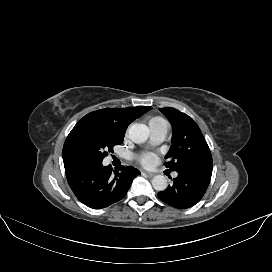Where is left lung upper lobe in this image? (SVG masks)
I'll list each match as a JSON object with an SVG mask.
<instances>
[{"mask_svg": "<svg viewBox=\"0 0 272 272\" xmlns=\"http://www.w3.org/2000/svg\"><path fill=\"white\" fill-rule=\"evenodd\" d=\"M170 121L173 137L165 166L172 171L182 167L212 164L210 149L195 121L175 108H161Z\"/></svg>", "mask_w": 272, "mask_h": 272, "instance_id": "obj_1", "label": "left lung upper lobe"}]
</instances>
